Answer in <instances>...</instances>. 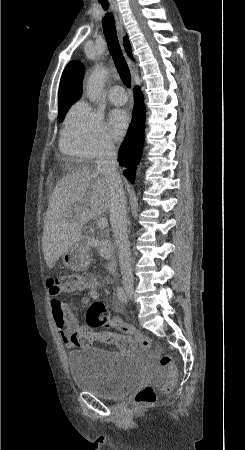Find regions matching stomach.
Here are the masks:
<instances>
[{
  "instance_id": "1",
  "label": "stomach",
  "mask_w": 245,
  "mask_h": 450,
  "mask_svg": "<svg viewBox=\"0 0 245 450\" xmlns=\"http://www.w3.org/2000/svg\"><path fill=\"white\" fill-rule=\"evenodd\" d=\"M90 260L88 250L82 247L79 243H75L62 256V261L65 266L73 270H82L87 267Z\"/></svg>"
}]
</instances>
